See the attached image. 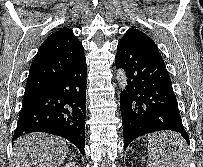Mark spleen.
Returning a JSON list of instances; mask_svg holds the SVG:
<instances>
[{"instance_id":"spleen-1","label":"spleen","mask_w":203,"mask_h":167,"mask_svg":"<svg viewBox=\"0 0 203 167\" xmlns=\"http://www.w3.org/2000/svg\"><path fill=\"white\" fill-rule=\"evenodd\" d=\"M188 147L177 134L166 133L148 140V167H188Z\"/></svg>"}]
</instances>
